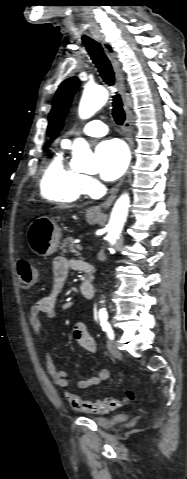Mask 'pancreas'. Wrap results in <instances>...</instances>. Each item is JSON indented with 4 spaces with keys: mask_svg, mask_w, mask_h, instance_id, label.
<instances>
[{
    "mask_svg": "<svg viewBox=\"0 0 187 479\" xmlns=\"http://www.w3.org/2000/svg\"><path fill=\"white\" fill-rule=\"evenodd\" d=\"M73 241L74 239L72 237H67L63 240V243L60 247L63 250V252L74 251L73 244H72Z\"/></svg>",
    "mask_w": 187,
    "mask_h": 479,
    "instance_id": "obj_1",
    "label": "pancreas"
}]
</instances>
